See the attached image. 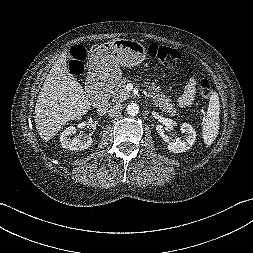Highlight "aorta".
<instances>
[{"label":"aorta","instance_id":"762f6f07","mask_svg":"<svg viewBox=\"0 0 253 253\" xmlns=\"http://www.w3.org/2000/svg\"><path fill=\"white\" fill-rule=\"evenodd\" d=\"M126 110L130 116H136L139 113V106L136 103H130Z\"/></svg>","mask_w":253,"mask_h":253}]
</instances>
